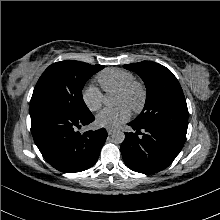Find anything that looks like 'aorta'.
<instances>
[{
    "label": "aorta",
    "mask_w": 220,
    "mask_h": 220,
    "mask_svg": "<svg viewBox=\"0 0 220 220\" xmlns=\"http://www.w3.org/2000/svg\"><path fill=\"white\" fill-rule=\"evenodd\" d=\"M103 102L108 107L113 105V99L110 96L104 97V101ZM112 139L116 143H122L124 141V139H125V134L122 131H120V130L115 131L112 134Z\"/></svg>",
    "instance_id": "obj_1"
}]
</instances>
